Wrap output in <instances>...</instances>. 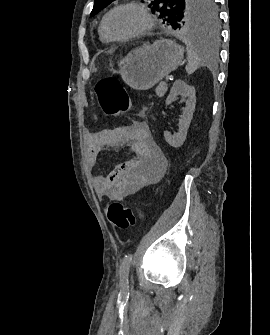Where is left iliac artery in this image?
Wrapping results in <instances>:
<instances>
[{"label": "left iliac artery", "instance_id": "44dca946", "mask_svg": "<svg viewBox=\"0 0 270 335\" xmlns=\"http://www.w3.org/2000/svg\"><path fill=\"white\" fill-rule=\"evenodd\" d=\"M132 257V254L126 255L120 266V284L124 289L128 287L129 267L132 262Z\"/></svg>", "mask_w": 270, "mask_h": 335}]
</instances>
